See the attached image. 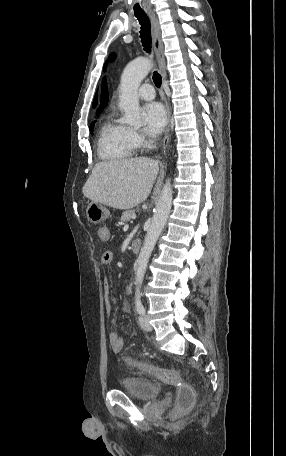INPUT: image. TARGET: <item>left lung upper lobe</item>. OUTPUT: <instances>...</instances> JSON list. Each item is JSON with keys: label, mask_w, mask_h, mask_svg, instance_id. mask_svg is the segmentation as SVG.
Wrapping results in <instances>:
<instances>
[{"label": "left lung upper lobe", "mask_w": 286, "mask_h": 456, "mask_svg": "<svg viewBox=\"0 0 286 456\" xmlns=\"http://www.w3.org/2000/svg\"><path fill=\"white\" fill-rule=\"evenodd\" d=\"M114 55L112 54L111 57H113ZM97 105V94L94 98V101H93V107H95Z\"/></svg>", "instance_id": "5c2ea615"}]
</instances>
